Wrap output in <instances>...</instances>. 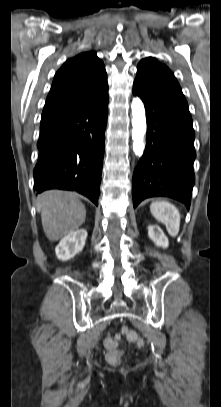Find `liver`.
<instances>
[{
    "label": "liver",
    "mask_w": 221,
    "mask_h": 407,
    "mask_svg": "<svg viewBox=\"0 0 221 407\" xmlns=\"http://www.w3.org/2000/svg\"><path fill=\"white\" fill-rule=\"evenodd\" d=\"M38 205L43 230L50 241L74 232L85 222L86 208L76 193L49 190L38 196Z\"/></svg>",
    "instance_id": "obj_1"
}]
</instances>
